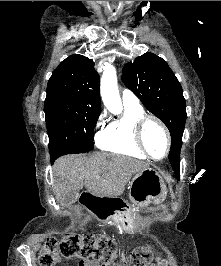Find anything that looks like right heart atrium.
Masks as SVG:
<instances>
[{
    "label": "right heart atrium",
    "instance_id": "right-heart-atrium-1",
    "mask_svg": "<svg viewBox=\"0 0 221 266\" xmlns=\"http://www.w3.org/2000/svg\"><path fill=\"white\" fill-rule=\"evenodd\" d=\"M105 117H106V113L104 111L101 112L99 117H98V119H97V121H96V127L101 126V124L103 123Z\"/></svg>",
    "mask_w": 221,
    "mask_h": 266
}]
</instances>
